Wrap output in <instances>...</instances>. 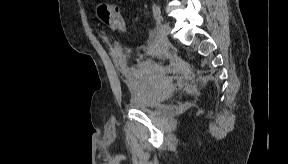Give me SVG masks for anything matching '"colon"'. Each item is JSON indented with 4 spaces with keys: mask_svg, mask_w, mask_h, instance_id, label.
<instances>
[{
    "mask_svg": "<svg viewBox=\"0 0 288 164\" xmlns=\"http://www.w3.org/2000/svg\"><path fill=\"white\" fill-rule=\"evenodd\" d=\"M99 17L114 32H123L125 21L116 5H104L99 9Z\"/></svg>",
    "mask_w": 288,
    "mask_h": 164,
    "instance_id": "obj_1",
    "label": "colon"
}]
</instances>
